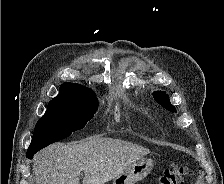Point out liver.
Wrapping results in <instances>:
<instances>
[{"label":"liver","mask_w":224,"mask_h":184,"mask_svg":"<svg viewBox=\"0 0 224 184\" xmlns=\"http://www.w3.org/2000/svg\"><path fill=\"white\" fill-rule=\"evenodd\" d=\"M149 154V149L112 138L93 137L79 143H55L33 160L36 184H105Z\"/></svg>","instance_id":"1"}]
</instances>
